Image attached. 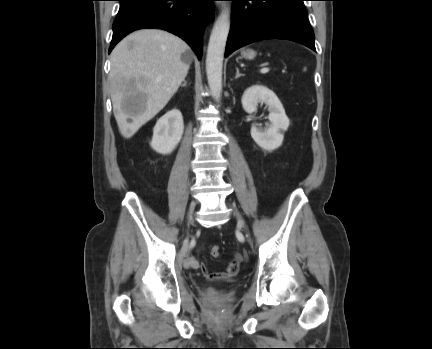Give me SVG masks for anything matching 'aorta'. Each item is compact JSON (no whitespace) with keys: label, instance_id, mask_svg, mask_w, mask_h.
<instances>
[{"label":"aorta","instance_id":"762f6f07","mask_svg":"<svg viewBox=\"0 0 432 349\" xmlns=\"http://www.w3.org/2000/svg\"><path fill=\"white\" fill-rule=\"evenodd\" d=\"M230 30V13L224 7L214 23L206 55V73L212 96L219 101L222 93V67Z\"/></svg>","mask_w":432,"mask_h":349}]
</instances>
